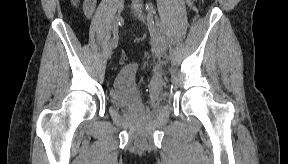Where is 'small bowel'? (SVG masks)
I'll return each mask as SVG.
<instances>
[{
    "label": "small bowel",
    "mask_w": 288,
    "mask_h": 164,
    "mask_svg": "<svg viewBox=\"0 0 288 164\" xmlns=\"http://www.w3.org/2000/svg\"><path fill=\"white\" fill-rule=\"evenodd\" d=\"M96 8L95 0H87L84 2L83 10L86 17L91 18Z\"/></svg>",
    "instance_id": "1"
}]
</instances>
